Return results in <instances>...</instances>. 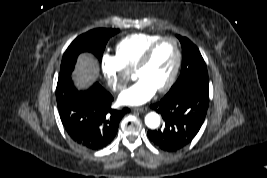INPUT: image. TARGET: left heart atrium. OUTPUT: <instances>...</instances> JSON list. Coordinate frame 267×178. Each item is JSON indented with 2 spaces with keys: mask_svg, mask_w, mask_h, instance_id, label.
<instances>
[{
  "mask_svg": "<svg viewBox=\"0 0 267 178\" xmlns=\"http://www.w3.org/2000/svg\"><path fill=\"white\" fill-rule=\"evenodd\" d=\"M157 89L146 79H139L119 96V102L124 105L138 106L149 101Z\"/></svg>",
  "mask_w": 267,
  "mask_h": 178,
  "instance_id": "39dd6f15",
  "label": "left heart atrium"
}]
</instances>
